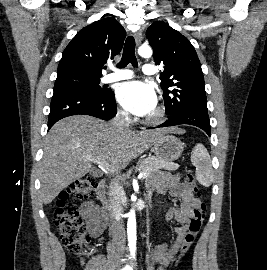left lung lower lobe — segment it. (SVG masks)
<instances>
[{
    "label": "left lung lower lobe",
    "mask_w": 267,
    "mask_h": 270,
    "mask_svg": "<svg viewBox=\"0 0 267 270\" xmlns=\"http://www.w3.org/2000/svg\"><path fill=\"white\" fill-rule=\"evenodd\" d=\"M181 124H188L199 127L210 136V121L208 113L198 110H188L170 115L168 120H166L163 124L157 127H150L148 129L170 127Z\"/></svg>",
    "instance_id": "0a47b994"
}]
</instances>
